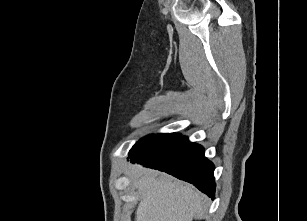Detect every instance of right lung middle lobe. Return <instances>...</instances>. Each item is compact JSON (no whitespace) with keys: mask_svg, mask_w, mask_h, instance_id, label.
Masks as SVG:
<instances>
[{"mask_svg":"<svg viewBox=\"0 0 307 221\" xmlns=\"http://www.w3.org/2000/svg\"><path fill=\"white\" fill-rule=\"evenodd\" d=\"M180 134L176 133H165V134H154L146 136L142 139H140L131 149V151H143L148 150L150 148H153L155 146H159L162 144H165L167 142H170L178 137H180Z\"/></svg>","mask_w":307,"mask_h":221,"instance_id":"1","label":"right lung middle lobe"}]
</instances>
